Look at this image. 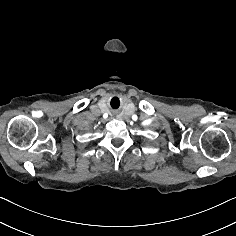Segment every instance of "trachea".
Segmentation results:
<instances>
[{"instance_id":"3493384b","label":"trachea","mask_w":236,"mask_h":236,"mask_svg":"<svg viewBox=\"0 0 236 236\" xmlns=\"http://www.w3.org/2000/svg\"><path fill=\"white\" fill-rule=\"evenodd\" d=\"M108 107L111 109V110H118L120 107H121V104H122V99L120 96L118 95H113L109 98L108 100Z\"/></svg>"}]
</instances>
